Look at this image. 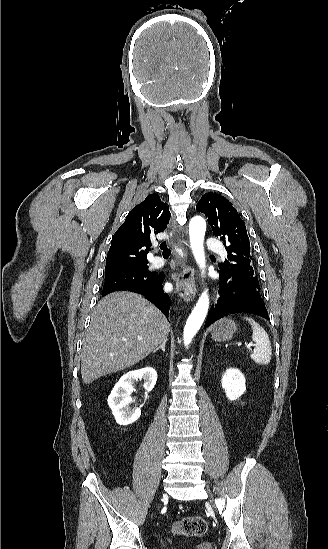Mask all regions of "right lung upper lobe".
<instances>
[{
	"label": "right lung upper lobe",
	"instance_id": "1",
	"mask_svg": "<svg viewBox=\"0 0 328 549\" xmlns=\"http://www.w3.org/2000/svg\"><path fill=\"white\" fill-rule=\"evenodd\" d=\"M169 219V208L159 195H148L112 237L105 273L147 265L151 238L166 229Z\"/></svg>",
	"mask_w": 328,
	"mask_h": 549
}]
</instances>
